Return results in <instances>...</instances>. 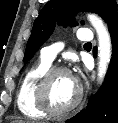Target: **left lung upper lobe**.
<instances>
[{"instance_id": "5c2ea615", "label": "left lung upper lobe", "mask_w": 118, "mask_h": 123, "mask_svg": "<svg viewBox=\"0 0 118 123\" xmlns=\"http://www.w3.org/2000/svg\"><path fill=\"white\" fill-rule=\"evenodd\" d=\"M79 11L95 12L107 23L117 15V3L115 0H50L33 24L23 61H29L34 56L53 33L57 21L58 24L69 22L71 26L78 25L72 16Z\"/></svg>"}]
</instances>
